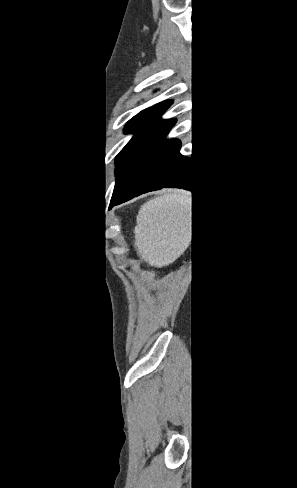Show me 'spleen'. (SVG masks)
Segmentation results:
<instances>
[{"label":"spleen","mask_w":297,"mask_h":488,"mask_svg":"<svg viewBox=\"0 0 297 488\" xmlns=\"http://www.w3.org/2000/svg\"><path fill=\"white\" fill-rule=\"evenodd\" d=\"M189 202L187 193L171 191L140 208L135 246L141 258L151 266L168 265L182 253Z\"/></svg>","instance_id":"3e777b00"}]
</instances>
